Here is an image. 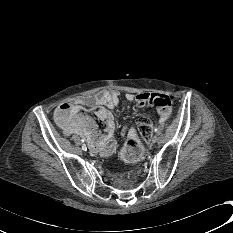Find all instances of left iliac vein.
Returning <instances> with one entry per match:
<instances>
[{
    "instance_id": "left-iliac-vein-1",
    "label": "left iliac vein",
    "mask_w": 233,
    "mask_h": 233,
    "mask_svg": "<svg viewBox=\"0 0 233 233\" xmlns=\"http://www.w3.org/2000/svg\"><path fill=\"white\" fill-rule=\"evenodd\" d=\"M157 140H158V137L155 135V136L152 138L151 143H152V144H155V143L157 142Z\"/></svg>"
}]
</instances>
